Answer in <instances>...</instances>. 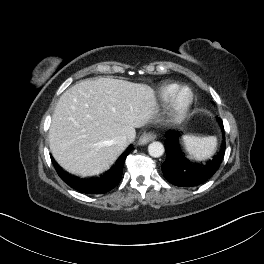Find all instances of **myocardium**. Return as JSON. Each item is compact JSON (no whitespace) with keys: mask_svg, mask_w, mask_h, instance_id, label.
<instances>
[{"mask_svg":"<svg viewBox=\"0 0 264 264\" xmlns=\"http://www.w3.org/2000/svg\"><path fill=\"white\" fill-rule=\"evenodd\" d=\"M194 103V93L186 86L176 88L168 98V118L170 122H182Z\"/></svg>","mask_w":264,"mask_h":264,"instance_id":"obj_1","label":"myocardium"}]
</instances>
